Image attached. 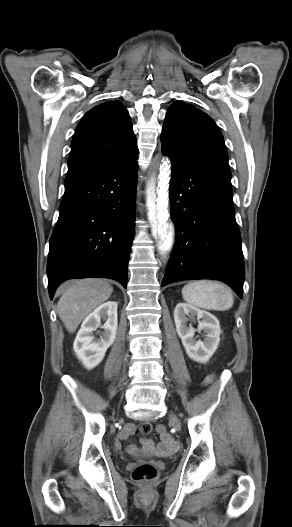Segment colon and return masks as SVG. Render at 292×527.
I'll use <instances>...</instances> for the list:
<instances>
[{
  "mask_svg": "<svg viewBox=\"0 0 292 527\" xmlns=\"http://www.w3.org/2000/svg\"><path fill=\"white\" fill-rule=\"evenodd\" d=\"M151 425L149 423H143L140 426L142 433H148L150 431ZM158 472L154 465L150 463H141L135 467L133 470V479L140 483H151L157 478Z\"/></svg>",
  "mask_w": 292,
  "mask_h": 527,
  "instance_id": "obj_1",
  "label": "colon"
}]
</instances>
